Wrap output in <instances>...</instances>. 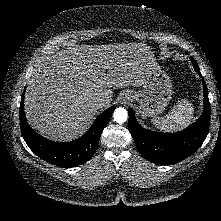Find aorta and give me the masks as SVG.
I'll return each instance as SVG.
<instances>
[{
  "label": "aorta",
  "instance_id": "aorta-1",
  "mask_svg": "<svg viewBox=\"0 0 221 221\" xmlns=\"http://www.w3.org/2000/svg\"><path fill=\"white\" fill-rule=\"evenodd\" d=\"M113 118L117 123H123L128 119V112L125 108H116L113 113Z\"/></svg>",
  "mask_w": 221,
  "mask_h": 221
}]
</instances>
